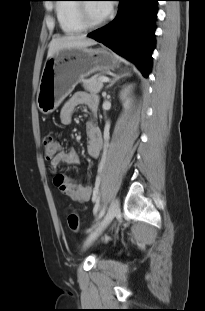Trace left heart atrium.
Listing matches in <instances>:
<instances>
[{
    "instance_id": "obj_1",
    "label": "left heart atrium",
    "mask_w": 205,
    "mask_h": 311,
    "mask_svg": "<svg viewBox=\"0 0 205 311\" xmlns=\"http://www.w3.org/2000/svg\"><path fill=\"white\" fill-rule=\"evenodd\" d=\"M102 2H112V1H102ZM113 5L110 3H100V8L105 16H107L111 11Z\"/></svg>"
}]
</instances>
